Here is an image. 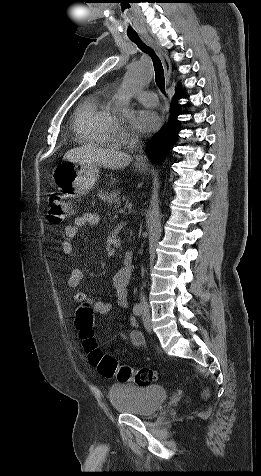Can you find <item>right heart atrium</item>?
<instances>
[{
  "label": "right heart atrium",
  "mask_w": 261,
  "mask_h": 476,
  "mask_svg": "<svg viewBox=\"0 0 261 476\" xmlns=\"http://www.w3.org/2000/svg\"><path fill=\"white\" fill-rule=\"evenodd\" d=\"M133 135V132L126 126L117 125L114 131V138L118 141L125 140Z\"/></svg>",
  "instance_id": "right-heart-atrium-1"
}]
</instances>
